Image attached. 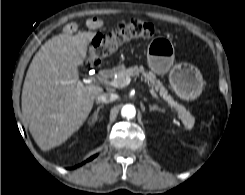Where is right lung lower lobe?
<instances>
[{"label": "right lung lower lobe", "mask_w": 245, "mask_h": 195, "mask_svg": "<svg viewBox=\"0 0 245 195\" xmlns=\"http://www.w3.org/2000/svg\"><path fill=\"white\" fill-rule=\"evenodd\" d=\"M97 155L90 157L87 161H91L93 158H95Z\"/></svg>", "instance_id": "1"}]
</instances>
